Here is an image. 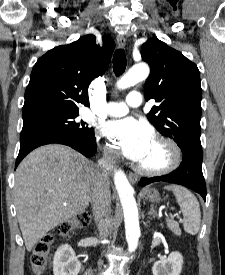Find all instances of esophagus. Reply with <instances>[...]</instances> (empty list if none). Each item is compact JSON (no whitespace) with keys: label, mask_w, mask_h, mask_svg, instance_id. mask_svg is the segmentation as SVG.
Returning a JSON list of instances; mask_svg holds the SVG:
<instances>
[{"label":"esophagus","mask_w":225,"mask_h":275,"mask_svg":"<svg viewBox=\"0 0 225 275\" xmlns=\"http://www.w3.org/2000/svg\"><path fill=\"white\" fill-rule=\"evenodd\" d=\"M117 44H118V46H119L120 48H124V47H125V45H126V39L124 38V36H122V35H117ZM128 178H129V181H130L132 184L136 183L137 180H138V177H137L135 174H133V173H130V174L128 175Z\"/></svg>","instance_id":"1"}]
</instances>
